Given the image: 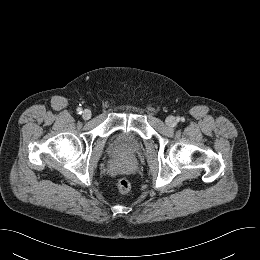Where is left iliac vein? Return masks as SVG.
Wrapping results in <instances>:
<instances>
[{"label":"left iliac vein","mask_w":260,"mask_h":260,"mask_svg":"<svg viewBox=\"0 0 260 260\" xmlns=\"http://www.w3.org/2000/svg\"><path fill=\"white\" fill-rule=\"evenodd\" d=\"M166 124L169 126V127H174L176 125V119L173 117V116H168L166 118Z\"/></svg>","instance_id":"1"}]
</instances>
